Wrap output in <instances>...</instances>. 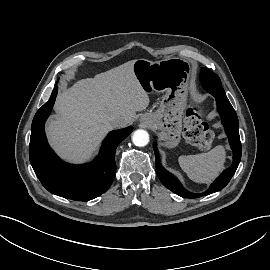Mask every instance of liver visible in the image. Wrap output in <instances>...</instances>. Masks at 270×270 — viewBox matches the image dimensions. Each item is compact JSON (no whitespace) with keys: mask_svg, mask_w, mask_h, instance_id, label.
I'll return each instance as SVG.
<instances>
[{"mask_svg":"<svg viewBox=\"0 0 270 270\" xmlns=\"http://www.w3.org/2000/svg\"><path fill=\"white\" fill-rule=\"evenodd\" d=\"M135 60L77 81L57 97V117L46 127L51 145L66 160L88 159L113 129L111 119L131 124L149 105L147 92L133 72Z\"/></svg>","mask_w":270,"mask_h":270,"instance_id":"obj_1","label":"liver"}]
</instances>
